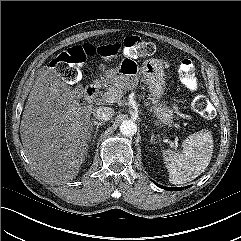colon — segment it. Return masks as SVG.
I'll return each mask as SVG.
<instances>
[{
  "mask_svg": "<svg viewBox=\"0 0 241 241\" xmlns=\"http://www.w3.org/2000/svg\"><path fill=\"white\" fill-rule=\"evenodd\" d=\"M121 49V45H107L95 48L84 45L70 48L50 61V67L68 83H75L80 77V67L87 56L99 55L106 60L114 59ZM123 54L128 58H138L153 54L155 46L138 36L127 37L122 45ZM179 75L182 83L190 90L197 87L194 62L185 58L179 65ZM192 109L198 114H206L208 101L203 96H197L192 101Z\"/></svg>",
  "mask_w": 241,
  "mask_h": 241,
  "instance_id": "obj_1",
  "label": "colon"
}]
</instances>
